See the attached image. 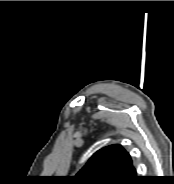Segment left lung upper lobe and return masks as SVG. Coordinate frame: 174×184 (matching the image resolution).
Listing matches in <instances>:
<instances>
[{
	"instance_id": "5c2ea615",
	"label": "left lung upper lobe",
	"mask_w": 174,
	"mask_h": 184,
	"mask_svg": "<svg viewBox=\"0 0 174 184\" xmlns=\"http://www.w3.org/2000/svg\"><path fill=\"white\" fill-rule=\"evenodd\" d=\"M135 176L130 155L118 144L97 151L76 175L78 184H129Z\"/></svg>"
}]
</instances>
